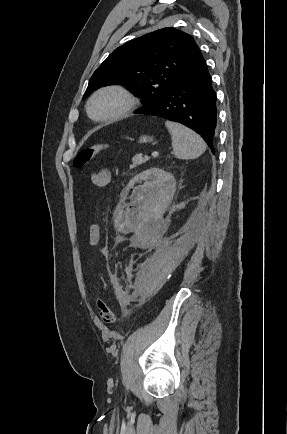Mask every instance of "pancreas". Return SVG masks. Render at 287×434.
<instances>
[{"mask_svg": "<svg viewBox=\"0 0 287 434\" xmlns=\"http://www.w3.org/2000/svg\"><path fill=\"white\" fill-rule=\"evenodd\" d=\"M148 160H149L148 157H142L141 154H137V155H135V156L133 157V159H132V164L130 165V168H131V169L136 168L137 166H139V165L145 163V162L148 161Z\"/></svg>", "mask_w": 287, "mask_h": 434, "instance_id": "obj_1", "label": "pancreas"}]
</instances>
